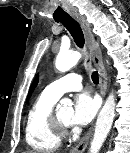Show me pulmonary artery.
Segmentation results:
<instances>
[{
    "mask_svg": "<svg viewBox=\"0 0 130 153\" xmlns=\"http://www.w3.org/2000/svg\"><path fill=\"white\" fill-rule=\"evenodd\" d=\"M82 88V77L77 73L67 74L50 84L45 88V91L55 98H60L65 92L77 91Z\"/></svg>",
    "mask_w": 130,
    "mask_h": 153,
    "instance_id": "1",
    "label": "pulmonary artery"
}]
</instances>
